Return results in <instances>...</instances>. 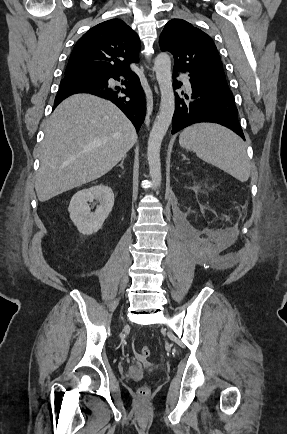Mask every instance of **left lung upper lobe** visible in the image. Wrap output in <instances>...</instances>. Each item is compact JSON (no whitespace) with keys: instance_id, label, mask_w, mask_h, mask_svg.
<instances>
[{"instance_id":"obj_1","label":"left lung upper lobe","mask_w":287,"mask_h":434,"mask_svg":"<svg viewBox=\"0 0 287 434\" xmlns=\"http://www.w3.org/2000/svg\"><path fill=\"white\" fill-rule=\"evenodd\" d=\"M159 44L174 57V68L201 76L227 88L222 62L209 35L182 19H172L164 27Z\"/></svg>"}]
</instances>
